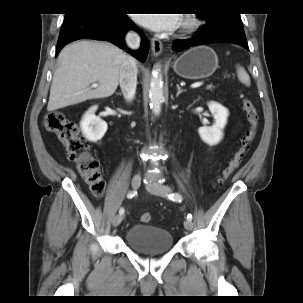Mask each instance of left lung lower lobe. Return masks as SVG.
<instances>
[{
    "instance_id": "1",
    "label": "left lung lower lobe",
    "mask_w": 303,
    "mask_h": 303,
    "mask_svg": "<svg viewBox=\"0 0 303 303\" xmlns=\"http://www.w3.org/2000/svg\"><path fill=\"white\" fill-rule=\"evenodd\" d=\"M197 33L199 34L197 37L187 40L174 41V51H182L184 49L197 45L221 42L238 44L248 50L244 30L231 29L206 31V29L202 27L197 31Z\"/></svg>"
}]
</instances>
